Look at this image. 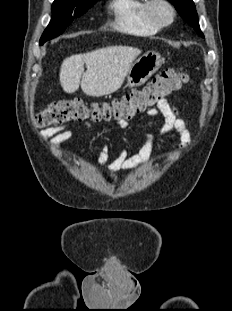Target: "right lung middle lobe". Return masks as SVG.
I'll return each mask as SVG.
<instances>
[{
  "mask_svg": "<svg viewBox=\"0 0 232 311\" xmlns=\"http://www.w3.org/2000/svg\"><path fill=\"white\" fill-rule=\"evenodd\" d=\"M98 0H55L52 4V18L42 34L40 45L64 32L74 18L84 14Z\"/></svg>",
  "mask_w": 232,
  "mask_h": 311,
  "instance_id": "obj_1",
  "label": "right lung middle lobe"
}]
</instances>
